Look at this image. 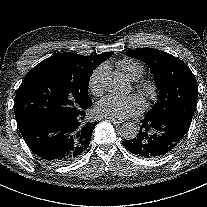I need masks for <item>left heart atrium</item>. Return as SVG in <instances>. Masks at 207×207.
I'll use <instances>...</instances> for the list:
<instances>
[{"instance_id": "39dd6f15", "label": "left heart atrium", "mask_w": 207, "mask_h": 207, "mask_svg": "<svg viewBox=\"0 0 207 207\" xmlns=\"http://www.w3.org/2000/svg\"><path fill=\"white\" fill-rule=\"evenodd\" d=\"M143 100L137 95H108L97 104L99 115L110 119H127L143 111Z\"/></svg>"}]
</instances>
